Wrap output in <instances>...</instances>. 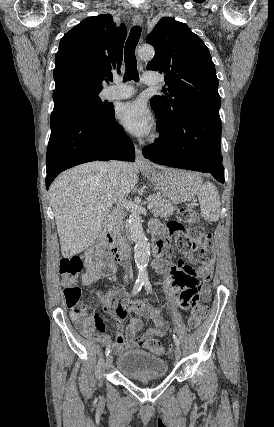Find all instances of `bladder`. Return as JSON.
<instances>
[{
	"mask_svg": "<svg viewBox=\"0 0 274 427\" xmlns=\"http://www.w3.org/2000/svg\"><path fill=\"white\" fill-rule=\"evenodd\" d=\"M115 370L129 379L167 376L169 366L166 359L144 349H131L115 360Z\"/></svg>",
	"mask_w": 274,
	"mask_h": 427,
	"instance_id": "1",
	"label": "bladder"
}]
</instances>
